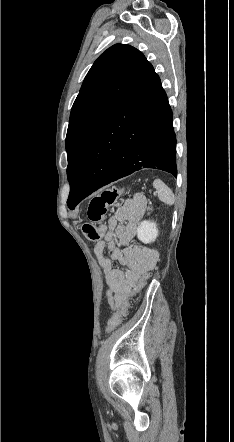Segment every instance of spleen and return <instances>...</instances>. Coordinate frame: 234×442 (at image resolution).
<instances>
[{
	"label": "spleen",
	"mask_w": 234,
	"mask_h": 442,
	"mask_svg": "<svg viewBox=\"0 0 234 442\" xmlns=\"http://www.w3.org/2000/svg\"><path fill=\"white\" fill-rule=\"evenodd\" d=\"M153 186L157 190L158 198L167 205L174 204L175 197L172 190L160 179L153 181Z\"/></svg>",
	"instance_id": "spleen-1"
}]
</instances>
